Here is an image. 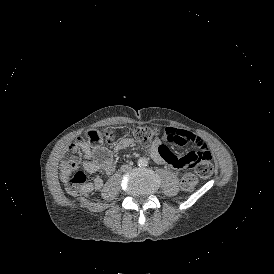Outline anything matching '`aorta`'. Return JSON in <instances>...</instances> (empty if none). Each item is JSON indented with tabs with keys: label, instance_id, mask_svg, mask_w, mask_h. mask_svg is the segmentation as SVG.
I'll list each match as a JSON object with an SVG mask.
<instances>
[{
	"label": "aorta",
	"instance_id": "1",
	"mask_svg": "<svg viewBox=\"0 0 274 274\" xmlns=\"http://www.w3.org/2000/svg\"><path fill=\"white\" fill-rule=\"evenodd\" d=\"M147 164H148V161H147L146 158H140V159L138 160V165H139V166H146Z\"/></svg>",
	"mask_w": 274,
	"mask_h": 274
}]
</instances>
